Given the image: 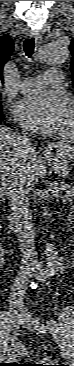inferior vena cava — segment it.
Segmentation results:
<instances>
[{"label": "inferior vena cava", "instance_id": "1", "mask_svg": "<svg viewBox=\"0 0 74 366\" xmlns=\"http://www.w3.org/2000/svg\"><path fill=\"white\" fill-rule=\"evenodd\" d=\"M21 146L30 152L33 145L30 141V134L24 133L19 136ZM30 187L22 178L14 179L8 189L10 204L11 226L15 228L19 247L22 256V265L20 275L12 288V298H23L26 290L28 276H30V262L36 261V250L34 246V229L30 202L28 194Z\"/></svg>", "mask_w": 74, "mask_h": 366}]
</instances>
